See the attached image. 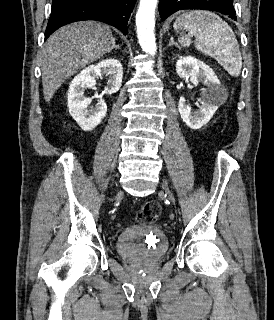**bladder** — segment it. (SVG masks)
<instances>
[{
    "label": "bladder",
    "mask_w": 274,
    "mask_h": 320,
    "mask_svg": "<svg viewBox=\"0 0 274 320\" xmlns=\"http://www.w3.org/2000/svg\"><path fill=\"white\" fill-rule=\"evenodd\" d=\"M168 246L165 232L150 224L127 226L115 241L118 255L134 261L158 260L166 254Z\"/></svg>",
    "instance_id": "31cf9c89"
}]
</instances>
